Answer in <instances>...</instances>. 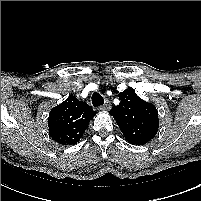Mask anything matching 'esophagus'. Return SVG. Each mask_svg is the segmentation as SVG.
<instances>
[{
  "label": "esophagus",
  "mask_w": 201,
  "mask_h": 201,
  "mask_svg": "<svg viewBox=\"0 0 201 201\" xmlns=\"http://www.w3.org/2000/svg\"><path fill=\"white\" fill-rule=\"evenodd\" d=\"M111 108V102L107 100L104 105L99 107V110H105L108 111Z\"/></svg>",
  "instance_id": "obj_1"
}]
</instances>
